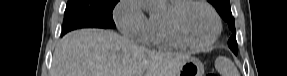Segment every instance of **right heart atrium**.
Returning <instances> with one entry per match:
<instances>
[{"label":"right heart atrium","mask_w":287,"mask_h":76,"mask_svg":"<svg viewBox=\"0 0 287 76\" xmlns=\"http://www.w3.org/2000/svg\"><path fill=\"white\" fill-rule=\"evenodd\" d=\"M119 31L126 37L144 42L148 32V19L140 0H120L113 12Z\"/></svg>","instance_id":"1"}]
</instances>
